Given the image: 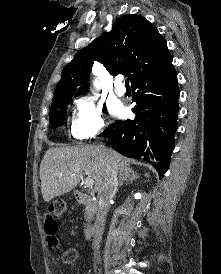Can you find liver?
I'll use <instances>...</instances> for the list:
<instances>
[{
	"mask_svg": "<svg viewBox=\"0 0 221 274\" xmlns=\"http://www.w3.org/2000/svg\"><path fill=\"white\" fill-rule=\"evenodd\" d=\"M112 157L118 170L128 169V160L112 149L99 145L49 148L40 165L41 192L45 202L64 195L80 182L83 171L98 191L106 175V158Z\"/></svg>",
	"mask_w": 221,
	"mask_h": 274,
	"instance_id": "liver-1",
	"label": "liver"
}]
</instances>
